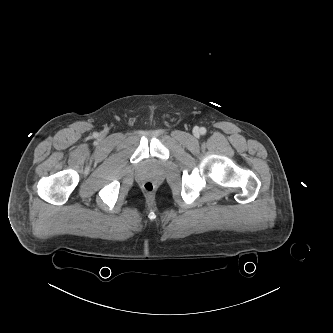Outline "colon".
I'll list each match as a JSON object with an SVG mask.
<instances>
[{"label":"colon","mask_w":333,"mask_h":333,"mask_svg":"<svg viewBox=\"0 0 333 333\" xmlns=\"http://www.w3.org/2000/svg\"><path fill=\"white\" fill-rule=\"evenodd\" d=\"M143 189L147 192V193H152L155 189L154 184L151 181H146L143 184Z\"/></svg>","instance_id":"obj_1"}]
</instances>
